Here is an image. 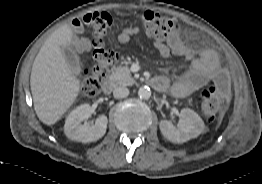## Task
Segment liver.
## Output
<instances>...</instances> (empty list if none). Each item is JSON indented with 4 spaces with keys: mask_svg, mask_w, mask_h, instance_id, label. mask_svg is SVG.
I'll list each match as a JSON object with an SVG mask.
<instances>
[{
    "mask_svg": "<svg viewBox=\"0 0 262 184\" xmlns=\"http://www.w3.org/2000/svg\"><path fill=\"white\" fill-rule=\"evenodd\" d=\"M73 30L65 24L56 29L40 48L31 71L34 109L41 122L53 125L74 103L80 81L72 74L63 47L72 43Z\"/></svg>",
    "mask_w": 262,
    "mask_h": 184,
    "instance_id": "liver-1",
    "label": "liver"
}]
</instances>
